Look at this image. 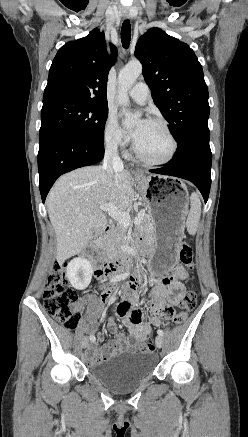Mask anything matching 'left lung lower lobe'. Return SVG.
<instances>
[{
	"instance_id": "0a47b994",
	"label": "left lung lower lobe",
	"mask_w": 248,
	"mask_h": 437,
	"mask_svg": "<svg viewBox=\"0 0 248 437\" xmlns=\"http://www.w3.org/2000/svg\"><path fill=\"white\" fill-rule=\"evenodd\" d=\"M209 138V129L195 132L177 150L170 164L150 172L191 181L200 190L206 203L211 187L212 153Z\"/></svg>"
}]
</instances>
